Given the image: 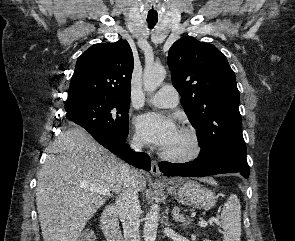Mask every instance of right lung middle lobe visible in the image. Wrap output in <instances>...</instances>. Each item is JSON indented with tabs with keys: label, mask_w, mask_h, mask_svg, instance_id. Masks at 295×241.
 <instances>
[{
	"label": "right lung middle lobe",
	"mask_w": 295,
	"mask_h": 241,
	"mask_svg": "<svg viewBox=\"0 0 295 241\" xmlns=\"http://www.w3.org/2000/svg\"><path fill=\"white\" fill-rule=\"evenodd\" d=\"M129 105L130 101H85L66 107V117L84 129L126 137Z\"/></svg>",
	"instance_id": "obj_1"
}]
</instances>
